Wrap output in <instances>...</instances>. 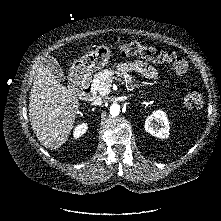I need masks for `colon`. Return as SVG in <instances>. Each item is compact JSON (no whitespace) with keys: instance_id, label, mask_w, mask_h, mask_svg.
<instances>
[{"instance_id":"colon-1","label":"colon","mask_w":221,"mask_h":221,"mask_svg":"<svg viewBox=\"0 0 221 221\" xmlns=\"http://www.w3.org/2000/svg\"><path fill=\"white\" fill-rule=\"evenodd\" d=\"M120 52L124 57L139 54L152 62L168 64L178 76L184 75L188 70L187 61L175 52L158 47H147L137 41L123 44ZM184 102L187 107L197 109L203 104V96L199 90L192 89L187 93Z\"/></svg>"}]
</instances>
